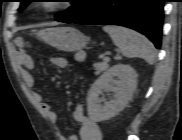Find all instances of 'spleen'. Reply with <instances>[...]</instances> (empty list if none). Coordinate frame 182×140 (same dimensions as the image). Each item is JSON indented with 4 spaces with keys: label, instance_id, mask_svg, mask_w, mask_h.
Returning <instances> with one entry per match:
<instances>
[{
    "label": "spleen",
    "instance_id": "3e777b00",
    "mask_svg": "<svg viewBox=\"0 0 182 140\" xmlns=\"http://www.w3.org/2000/svg\"><path fill=\"white\" fill-rule=\"evenodd\" d=\"M103 30L110 35L113 43L125 57H140L149 64L154 63L155 48L143 35L121 26L107 25Z\"/></svg>",
    "mask_w": 182,
    "mask_h": 140
}]
</instances>
